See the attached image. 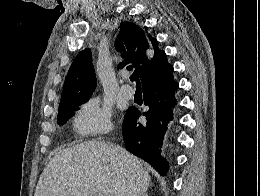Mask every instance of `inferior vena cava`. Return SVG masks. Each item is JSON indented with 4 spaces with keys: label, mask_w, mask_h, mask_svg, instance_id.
<instances>
[{
    "label": "inferior vena cava",
    "mask_w": 260,
    "mask_h": 196,
    "mask_svg": "<svg viewBox=\"0 0 260 196\" xmlns=\"http://www.w3.org/2000/svg\"><path fill=\"white\" fill-rule=\"evenodd\" d=\"M119 196H134V194H132L130 190H126V188H124L123 194H119Z\"/></svg>",
    "instance_id": "1"
}]
</instances>
